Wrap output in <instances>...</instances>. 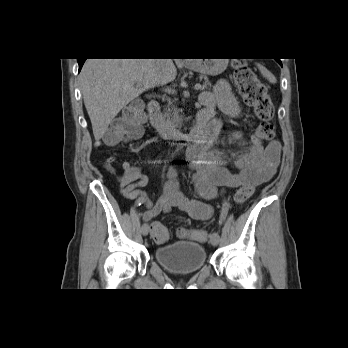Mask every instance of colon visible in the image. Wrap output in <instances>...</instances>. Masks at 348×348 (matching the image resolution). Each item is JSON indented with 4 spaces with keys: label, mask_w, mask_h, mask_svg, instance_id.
Wrapping results in <instances>:
<instances>
[{
    "label": "colon",
    "mask_w": 348,
    "mask_h": 348,
    "mask_svg": "<svg viewBox=\"0 0 348 348\" xmlns=\"http://www.w3.org/2000/svg\"><path fill=\"white\" fill-rule=\"evenodd\" d=\"M233 79L244 102L253 108L255 115L260 120V124L252 135L253 144L260 146L262 142L269 141L274 137V125L271 123L274 106L267 86L244 60H237L234 63ZM144 122L145 116L141 104L133 103L126 106L104 132V144L112 147L122 141L139 137ZM114 159V156L109 157V161ZM253 192L254 186L252 185L240 186L235 192L234 202L243 204L251 197ZM151 228L153 239L156 242L163 243L169 240L170 233L167 227L159 222H154ZM178 235L181 238H189L195 241H205L207 239V234L200 230L180 228Z\"/></svg>",
    "instance_id": "colon-1"
}]
</instances>
